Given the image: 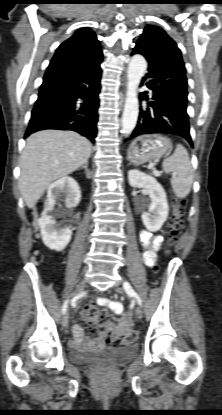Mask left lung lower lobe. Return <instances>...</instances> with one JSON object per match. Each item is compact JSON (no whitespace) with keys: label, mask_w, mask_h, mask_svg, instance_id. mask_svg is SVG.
Instances as JSON below:
<instances>
[{"label":"left lung lower lobe","mask_w":222,"mask_h":415,"mask_svg":"<svg viewBox=\"0 0 222 415\" xmlns=\"http://www.w3.org/2000/svg\"><path fill=\"white\" fill-rule=\"evenodd\" d=\"M133 54H142L147 59V87L152 90L148 107L141 108L137 125L130 137L148 133H169L186 139L193 146L187 114V79L182 59L175 56L150 52L142 45L133 49ZM140 99L148 100L147 92Z\"/></svg>","instance_id":"1"}]
</instances>
